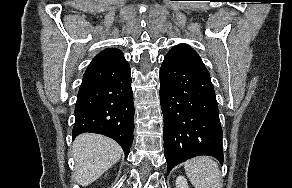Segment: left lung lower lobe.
Segmentation results:
<instances>
[{
    "label": "left lung lower lobe",
    "mask_w": 292,
    "mask_h": 188,
    "mask_svg": "<svg viewBox=\"0 0 292 188\" xmlns=\"http://www.w3.org/2000/svg\"><path fill=\"white\" fill-rule=\"evenodd\" d=\"M160 101L168 172L198 155L223 162V133L209 73L166 55L160 69Z\"/></svg>",
    "instance_id": "1"
}]
</instances>
